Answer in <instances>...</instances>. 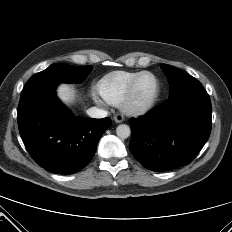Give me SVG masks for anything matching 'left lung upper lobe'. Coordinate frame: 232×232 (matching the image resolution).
<instances>
[{"mask_svg": "<svg viewBox=\"0 0 232 232\" xmlns=\"http://www.w3.org/2000/svg\"><path fill=\"white\" fill-rule=\"evenodd\" d=\"M162 69L167 75L170 84V97L174 96L188 88L201 86L202 84L189 75L174 66L162 64Z\"/></svg>", "mask_w": 232, "mask_h": 232, "instance_id": "left-lung-upper-lobe-1", "label": "left lung upper lobe"}]
</instances>
